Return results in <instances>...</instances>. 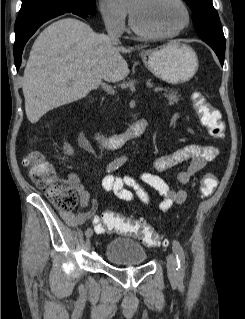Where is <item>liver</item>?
<instances>
[{
  "label": "liver",
  "mask_w": 245,
  "mask_h": 319,
  "mask_svg": "<svg viewBox=\"0 0 245 319\" xmlns=\"http://www.w3.org/2000/svg\"><path fill=\"white\" fill-rule=\"evenodd\" d=\"M130 51L75 18L46 27L35 40L24 70L28 120L34 124L48 111L84 98L102 80L124 79L129 69L121 53Z\"/></svg>",
  "instance_id": "liver-1"
}]
</instances>
